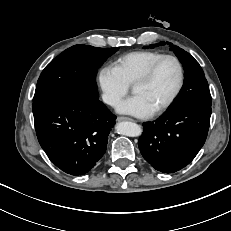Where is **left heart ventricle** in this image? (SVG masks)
<instances>
[{
	"instance_id": "obj_1",
	"label": "left heart ventricle",
	"mask_w": 231,
	"mask_h": 231,
	"mask_svg": "<svg viewBox=\"0 0 231 231\" xmlns=\"http://www.w3.org/2000/svg\"><path fill=\"white\" fill-rule=\"evenodd\" d=\"M179 71L173 60L162 61L149 81L133 88L155 110L164 103L177 86Z\"/></svg>"
}]
</instances>
